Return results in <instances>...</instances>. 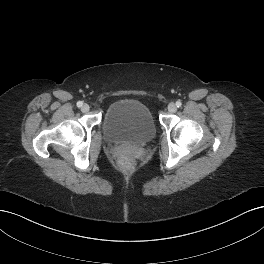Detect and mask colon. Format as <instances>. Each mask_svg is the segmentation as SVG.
Returning a JSON list of instances; mask_svg holds the SVG:
<instances>
[{"instance_id":"5ec220e1","label":"colon","mask_w":264,"mask_h":264,"mask_svg":"<svg viewBox=\"0 0 264 264\" xmlns=\"http://www.w3.org/2000/svg\"><path fill=\"white\" fill-rule=\"evenodd\" d=\"M119 166L123 171H131L133 169V163L127 159L124 158L119 162Z\"/></svg>"}]
</instances>
